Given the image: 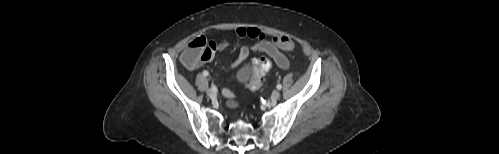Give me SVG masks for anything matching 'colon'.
I'll return each instance as SVG.
<instances>
[{
    "mask_svg": "<svg viewBox=\"0 0 499 154\" xmlns=\"http://www.w3.org/2000/svg\"><path fill=\"white\" fill-rule=\"evenodd\" d=\"M273 42L276 46L284 51L295 50L294 42L285 35H277L273 38ZM213 55V49L210 42L203 36H198L193 38L187 45L186 49L182 55L183 63L189 67L194 68L199 63L203 61H208ZM271 68V62L267 58H260L253 63V74L252 78L248 83V87L251 90H259L263 84V76ZM229 105L235 107L236 102L230 101Z\"/></svg>",
    "mask_w": 499,
    "mask_h": 154,
    "instance_id": "5ec220e1",
    "label": "colon"
}]
</instances>
